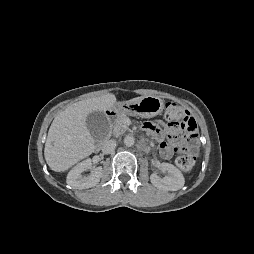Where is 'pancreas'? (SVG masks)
Masks as SVG:
<instances>
[{"mask_svg":"<svg viewBox=\"0 0 254 254\" xmlns=\"http://www.w3.org/2000/svg\"><path fill=\"white\" fill-rule=\"evenodd\" d=\"M128 117L125 114L119 115L112 125V134L116 137L124 134L128 130L125 120Z\"/></svg>","mask_w":254,"mask_h":254,"instance_id":"obj_1","label":"pancreas"}]
</instances>
